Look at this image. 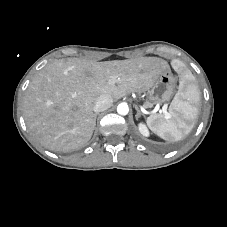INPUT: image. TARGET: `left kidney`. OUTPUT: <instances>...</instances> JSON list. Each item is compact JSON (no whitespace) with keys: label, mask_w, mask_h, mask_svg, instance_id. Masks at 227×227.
<instances>
[{"label":"left kidney","mask_w":227,"mask_h":227,"mask_svg":"<svg viewBox=\"0 0 227 227\" xmlns=\"http://www.w3.org/2000/svg\"><path fill=\"white\" fill-rule=\"evenodd\" d=\"M138 130L143 136H145V137L149 136L148 128L146 127V125L144 123L140 122L138 124Z\"/></svg>","instance_id":"obj_1"}]
</instances>
